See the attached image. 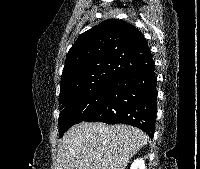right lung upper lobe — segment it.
Instances as JSON below:
<instances>
[{
	"instance_id": "obj_1",
	"label": "right lung upper lobe",
	"mask_w": 200,
	"mask_h": 169,
	"mask_svg": "<svg viewBox=\"0 0 200 169\" xmlns=\"http://www.w3.org/2000/svg\"><path fill=\"white\" fill-rule=\"evenodd\" d=\"M154 64L142 34L133 25L109 19L82 33L70 48L59 100L104 79H116Z\"/></svg>"
}]
</instances>
